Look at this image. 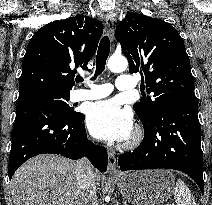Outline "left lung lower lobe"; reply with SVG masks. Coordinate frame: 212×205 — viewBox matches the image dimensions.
<instances>
[{
	"mask_svg": "<svg viewBox=\"0 0 212 205\" xmlns=\"http://www.w3.org/2000/svg\"><path fill=\"white\" fill-rule=\"evenodd\" d=\"M197 100H181L144 126V139L119 156L122 171L169 168L185 172L203 193V156Z\"/></svg>",
	"mask_w": 212,
	"mask_h": 205,
	"instance_id": "left-lung-lower-lobe-1",
	"label": "left lung lower lobe"
}]
</instances>
